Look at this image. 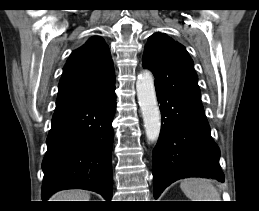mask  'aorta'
I'll use <instances>...</instances> for the list:
<instances>
[{
	"instance_id": "1",
	"label": "aorta",
	"mask_w": 259,
	"mask_h": 211,
	"mask_svg": "<svg viewBox=\"0 0 259 211\" xmlns=\"http://www.w3.org/2000/svg\"><path fill=\"white\" fill-rule=\"evenodd\" d=\"M137 98L142 112L145 133L149 142L158 140L161 114L157 103L154 79L150 71H143L136 81Z\"/></svg>"
}]
</instances>
